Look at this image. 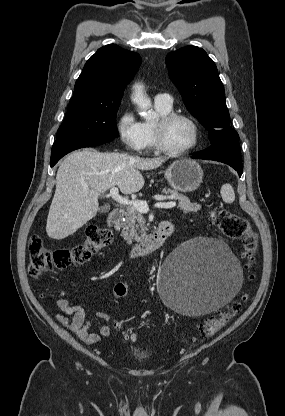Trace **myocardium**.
Segmentation results:
<instances>
[{"label":"myocardium","instance_id":"obj_1","mask_svg":"<svg viewBox=\"0 0 285 416\" xmlns=\"http://www.w3.org/2000/svg\"><path fill=\"white\" fill-rule=\"evenodd\" d=\"M176 119H184L186 120L193 129V142L192 144L180 151H175L170 149L164 140V133L168 125L173 122ZM154 130V142H155V148L161 152L162 154L170 157H180V156H186L190 153H192L199 145L200 142V130L198 123L194 118H192L188 114L179 113V112H169L166 114L161 115L155 122L153 126Z\"/></svg>","mask_w":285,"mask_h":416}]
</instances>
